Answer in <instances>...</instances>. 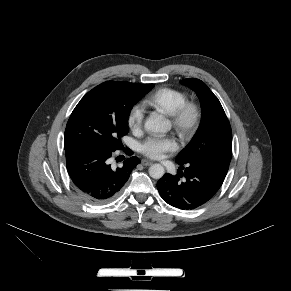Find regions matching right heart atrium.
Instances as JSON below:
<instances>
[{"mask_svg":"<svg viewBox=\"0 0 291 291\" xmlns=\"http://www.w3.org/2000/svg\"><path fill=\"white\" fill-rule=\"evenodd\" d=\"M144 110L139 104H135L127 115V124L133 131H139L144 122Z\"/></svg>","mask_w":291,"mask_h":291,"instance_id":"d8ad5b80","label":"right heart atrium"}]
</instances>
